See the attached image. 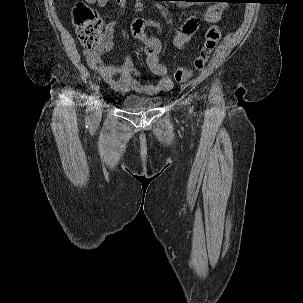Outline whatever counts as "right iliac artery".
Instances as JSON below:
<instances>
[{
    "instance_id": "82829eb1",
    "label": "right iliac artery",
    "mask_w": 303,
    "mask_h": 303,
    "mask_svg": "<svg viewBox=\"0 0 303 303\" xmlns=\"http://www.w3.org/2000/svg\"><path fill=\"white\" fill-rule=\"evenodd\" d=\"M98 91H99V87L95 86L94 87V95L90 96L89 99H88V101H87L86 120L88 122L91 120L92 115H93V110H94V107H95Z\"/></svg>"
}]
</instances>
